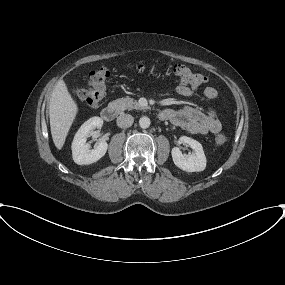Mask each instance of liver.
<instances>
[{"label":"liver","mask_w":285,"mask_h":285,"mask_svg":"<svg viewBox=\"0 0 285 285\" xmlns=\"http://www.w3.org/2000/svg\"><path fill=\"white\" fill-rule=\"evenodd\" d=\"M78 113V106L64 80L56 84L49 103L50 129L58 150L65 144L66 137Z\"/></svg>","instance_id":"6515ba94"}]
</instances>
